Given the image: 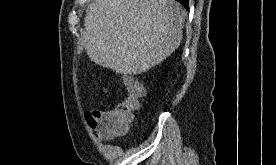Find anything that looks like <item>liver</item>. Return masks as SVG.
<instances>
[{
    "label": "liver",
    "mask_w": 276,
    "mask_h": 165,
    "mask_svg": "<svg viewBox=\"0 0 276 165\" xmlns=\"http://www.w3.org/2000/svg\"><path fill=\"white\" fill-rule=\"evenodd\" d=\"M185 16L174 0H94L81 35L95 64L119 74H141L180 46Z\"/></svg>",
    "instance_id": "6515ba94"
}]
</instances>
